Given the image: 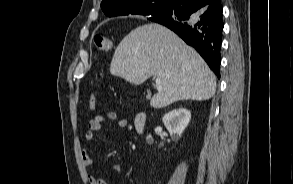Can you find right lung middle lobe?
Instances as JSON below:
<instances>
[{"mask_svg":"<svg viewBox=\"0 0 293 184\" xmlns=\"http://www.w3.org/2000/svg\"><path fill=\"white\" fill-rule=\"evenodd\" d=\"M163 6H164V4L156 5L152 9L146 10V11L142 12L141 14L142 15H151L150 18H156L160 15V11Z\"/></svg>","mask_w":293,"mask_h":184,"instance_id":"1","label":"right lung middle lobe"}]
</instances>
